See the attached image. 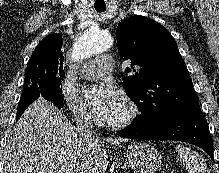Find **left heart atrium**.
<instances>
[{"label": "left heart atrium", "mask_w": 219, "mask_h": 173, "mask_svg": "<svg viewBox=\"0 0 219 173\" xmlns=\"http://www.w3.org/2000/svg\"><path fill=\"white\" fill-rule=\"evenodd\" d=\"M90 99L98 116L103 120H107L117 107L121 95L112 84L101 83L96 86Z\"/></svg>", "instance_id": "39dd6f15"}]
</instances>
